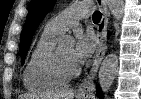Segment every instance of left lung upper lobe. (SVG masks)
I'll list each match as a JSON object with an SVG mask.
<instances>
[{"instance_id":"1","label":"left lung upper lobe","mask_w":141,"mask_h":99,"mask_svg":"<svg viewBox=\"0 0 141 99\" xmlns=\"http://www.w3.org/2000/svg\"><path fill=\"white\" fill-rule=\"evenodd\" d=\"M55 2L56 0L31 1L24 29L21 34L20 52L22 64L24 63L25 56L30 47L35 30L45 15L53 8Z\"/></svg>"}]
</instances>
